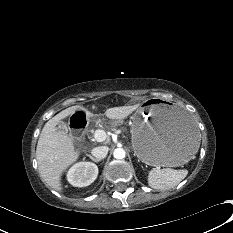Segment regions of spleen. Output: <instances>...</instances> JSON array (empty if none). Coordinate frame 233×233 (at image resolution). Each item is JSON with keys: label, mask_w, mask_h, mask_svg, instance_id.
Listing matches in <instances>:
<instances>
[{"label": "spleen", "mask_w": 233, "mask_h": 233, "mask_svg": "<svg viewBox=\"0 0 233 233\" xmlns=\"http://www.w3.org/2000/svg\"><path fill=\"white\" fill-rule=\"evenodd\" d=\"M186 175L187 170L152 169L148 174V184L154 189L167 190L178 185Z\"/></svg>", "instance_id": "spleen-1"}]
</instances>
